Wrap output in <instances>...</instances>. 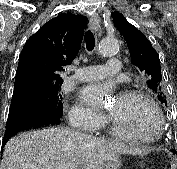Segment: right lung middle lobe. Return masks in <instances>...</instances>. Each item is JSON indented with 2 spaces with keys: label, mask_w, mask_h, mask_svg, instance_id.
Returning <instances> with one entry per match:
<instances>
[{
  "label": "right lung middle lobe",
  "mask_w": 177,
  "mask_h": 169,
  "mask_svg": "<svg viewBox=\"0 0 177 169\" xmlns=\"http://www.w3.org/2000/svg\"><path fill=\"white\" fill-rule=\"evenodd\" d=\"M60 86L61 84L25 83L19 91L13 94L11 105L32 104L61 112L63 103L62 95L59 93Z\"/></svg>",
  "instance_id": "obj_1"
}]
</instances>
